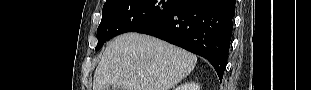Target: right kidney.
<instances>
[{
	"label": "right kidney",
	"mask_w": 311,
	"mask_h": 90,
	"mask_svg": "<svg viewBox=\"0 0 311 90\" xmlns=\"http://www.w3.org/2000/svg\"><path fill=\"white\" fill-rule=\"evenodd\" d=\"M175 90H200V86L195 83L190 82V83H185L179 86Z\"/></svg>",
	"instance_id": "obj_1"
}]
</instances>
